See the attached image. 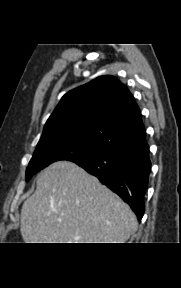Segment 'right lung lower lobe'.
Returning <instances> with one entry per match:
<instances>
[{"label":"right lung lower lobe","mask_w":181,"mask_h":288,"mask_svg":"<svg viewBox=\"0 0 181 288\" xmlns=\"http://www.w3.org/2000/svg\"><path fill=\"white\" fill-rule=\"evenodd\" d=\"M118 194L136 214L143 217L144 196L151 171L147 142L106 150L71 160Z\"/></svg>","instance_id":"1"}]
</instances>
